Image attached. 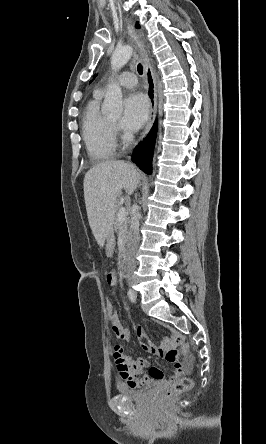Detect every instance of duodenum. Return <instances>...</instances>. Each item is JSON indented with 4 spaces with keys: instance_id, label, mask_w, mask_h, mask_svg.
I'll return each mask as SVG.
<instances>
[{
    "instance_id": "duodenum-1",
    "label": "duodenum",
    "mask_w": 266,
    "mask_h": 444,
    "mask_svg": "<svg viewBox=\"0 0 266 444\" xmlns=\"http://www.w3.org/2000/svg\"><path fill=\"white\" fill-rule=\"evenodd\" d=\"M126 267H125V265H123V269H125Z\"/></svg>"
}]
</instances>
